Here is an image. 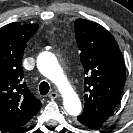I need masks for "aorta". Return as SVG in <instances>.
Instances as JSON below:
<instances>
[{
    "instance_id": "1",
    "label": "aorta",
    "mask_w": 133,
    "mask_h": 133,
    "mask_svg": "<svg viewBox=\"0 0 133 133\" xmlns=\"http://www.w3.org/2000/svg\"><path fill=\"white\" fill-rule=\"evenodd\" d=\"M37 68L40 73L52 81L63 97V105L69 115L77 116L81 113V101L65 76L63 69L55 55L45 52L37 58Z\"/></svg>"
}]
</instances>
